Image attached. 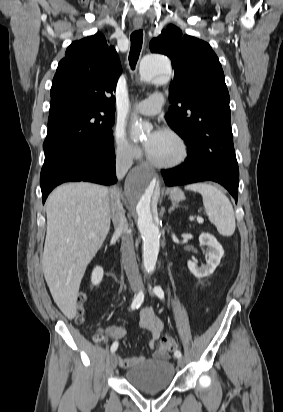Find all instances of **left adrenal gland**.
Wrapping results in <instances>:
<instances>
[{
    "instance_id": "a2214340",
    "label": "left adrenal gland",
    "mask_w": 283,
    "mask_h": 412,
    "mask_svg": "<svg viewBox=\"0 0 283 412\" xmlns=\"http://www.w3.org/2000/svg\"><path fill=\"white\" fill-rule=\"evenodd\" d=\"M177 206L173 203L172 206L169 208L168 213H171Z\"/></svg>"
}]
</instances>
